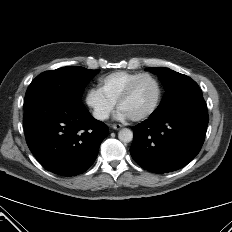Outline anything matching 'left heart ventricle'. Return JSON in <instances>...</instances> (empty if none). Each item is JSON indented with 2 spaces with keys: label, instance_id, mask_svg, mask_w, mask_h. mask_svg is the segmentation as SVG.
<instances>
[{
  "label": "left heart ventricle",
  "instance_id": "obj_1",
  "mask_svg": "<svg viewBox=\"0 0 232 232\" xmlns=\"http://www.w3.org/2000/svg\"><path fill=\"white\" fill-rule=\"evenodd\" d=\"M156 96L157 87L154 81L150 78H143L136 85L132 96L121 105L120 109L130 117L139 116L152 107Z\"/></svg>",
  "mask_w": 232,
  "mask_h": 232
}]
</instances>
